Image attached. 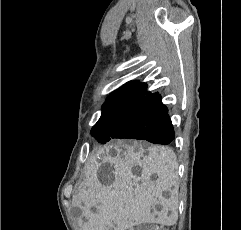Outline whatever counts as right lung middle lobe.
Wrapping results in <instances>:
<instances>
[{
  "mask_svg": "<svg viewBox=\"0 0 241 230\" xmlns=\"http://www.w3.org/2000/svg\"><path fill=\"white\" fill-rule=\"evenodd\" d=\"M146 106L133 113L114 111L102 115L91 130L92 136L100 144H105L114 138L137 139L135 131L144 123L143 113Z\"/></svg>",
  "mask_w": 241,
  "mask_h": 230,
  "instance_id": "obj_1",
  "label": "right lung middle lobe"
}]
</instances>
